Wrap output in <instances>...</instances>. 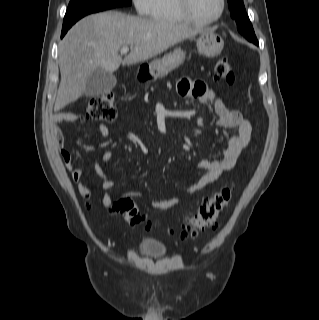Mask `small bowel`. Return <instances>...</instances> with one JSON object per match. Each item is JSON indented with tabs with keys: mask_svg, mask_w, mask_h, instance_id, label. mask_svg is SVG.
Returning <instances> with one entry per match:
<instances>
[{
	"mask_svg": "<svg viewBox=\"0 0 319 320\" xmlns=\"http://www.w3.org/2000/svg\"><path fill=\"white\" fill-rule=\"evenodd\" d=\"M178 93L184 98H194L200 102L213 101V108L217 117L216 124L222 128L235 129L236 132L232 134L227 143V147L222 156L217 159H204L198 163V167L205 170L206 173L197 181L192 183L188 188L189 194H195L205 189L210 184L217 181L220 176L232 169L241 152L248 146L251 138L252 126L249 120L245 119L238 110H230L225 102L210 89L202 80H190L188 78H180L178 81ZM75 115L71 113H60L55 115L53 119L54 134L60 146V155L64 165L69 172L72 180L79 183L80 193L86 197L92 196L95 189L81 182L83 177V170L80 167L74 166L72 163V153L64 147L63 137L58 124L64 121H74ZM99 134L102 137L109 135V129L104 124L98 125ZM113 153L107 150L103 153L101 160L92 158L91 163L94 171L102 180V188L105 190L114 187V181L109 174L108 163L111 160ZM137 197L142 196V192L133 193ZM183 198L175 196L163 201H156L151 204L155 210L164 211L179 203ZM114 203V198L105 194L102 197V204L111 208Z\"/></svg>",
	"mask_w": 319,
	"mask_h": 320,
	"instance_id": "c3829d8e",
	"label": "small bowel"
}]
</instances>
